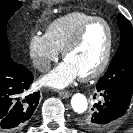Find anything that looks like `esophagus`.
<instances>
[{"mask_svg": "<svg viewBox=\"0 0 133 133\" xmlns=\"http://www.w3.org/2000/svg\"><path fill=\"white\" fill-rule=\"evenodd\" d=\"M59 95L62 97V98H68L71 93L69 91H60L59 92Z\"/></svg>", "mask_w": 133, "mask_h": 133, "instance_id": "34e87169", "label": "esophagus"}]
</instances>
